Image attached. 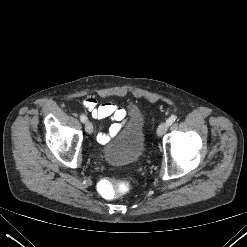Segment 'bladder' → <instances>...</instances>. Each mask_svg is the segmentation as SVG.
I'll return each mask as SVG.
<instances>
[{
	"mask_svg": "<svg viewBox=\"0 0 247 247\" xmlns=\"http://www.w3.org/2000/svg\"><path fill=\"white\" fill-rule=\"evenodd\" d=\"M145 120L138 109L129 113L125 127L104 149V158L114 166L137 162L146 149Z\"/></svg>",
	"mask_w": 247,
	"mask_h": 247,
	"instance_id": "obj_1",
	"label": "bladder"
}]
</instances>
